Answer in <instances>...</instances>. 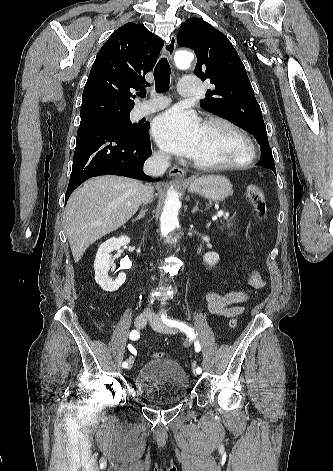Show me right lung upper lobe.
Segmentation results:
<instances>
[{"label":"right lung upper lobe","instance_id":"right-lung-upper-lobe-1","mask_svg":"<svg viewBox=\"0 0 333 471\" xmlns=\"http://www.w3.org/2000/svg\"><path fill=\"white\" fill-rule=\"evenodd\" d=\"M164 42L141 24L118 28L98 52L88 76L81 120L131 111L133 90L144 88Z\"/></svg>","mask_w":333,"mask_h":471}]
</instances>
